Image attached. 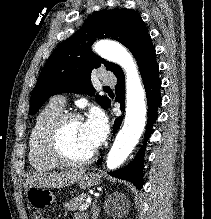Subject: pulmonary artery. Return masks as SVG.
<instances>
[{
  "label": "pulmonary artery",
  "mask_w": 211,
  "mask_h": 219,
  "mask_svg": "<svg viewBox=\"0 0 211 219\" xmlns=\"http://www.w3.org/2000/svg\"><path fill=\"white\" fill-rule=\"evenodd\" d=\"M101 82L103 84H114L116 82V79L114 76L106 74V73H102L101 75ZM52 102L57 103L59 105L64 106L66 103V98L62 95L60 96H56L52 99Z\"/></svg>",
  "instance_id": "obj_1"
}]
</instances>
